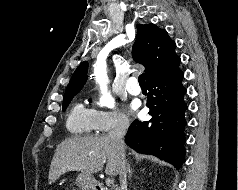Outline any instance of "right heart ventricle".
I'll use <instances>...</instances> for the list:
<instances>
[{
  "instance_id": "1",
  "label": "right heart ventricle",
  "mask_w": 238,
  "mask_h": 190,
  "mask_svg": "<svg viewBox=\"0 0 238 190\" xmlns=\"http://www.w3.org/2000/svg\"><path fill=\"white\" fill-rule=\"evenodd\" d=\"M67 129L73 134H88L94 130L92 110L76 103L66 120Z\"/></svg>"
}]
</instances>
